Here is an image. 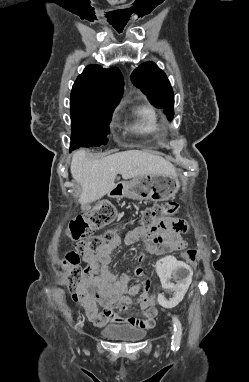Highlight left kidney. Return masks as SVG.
Masks as SVG:
<instances>
[{
    "label": "left kidney",
    "instance_id": "obj_1",
    "mask_svg": "<svg viewBox=\"0 0 249 382\" xmlns=\"http://www.w3.org/2000/svg\"><path fill=\"white\" fill-rule=\"evenodd\" d=\"M156 264L158 276L161 277L164 287V291L157 296V306L163 309H176L187 296L193 271L182 270L186 265L173 256H167Z\"/></svg>",
    "mask_w": 249,
    "mask_h": 382
}]
</instances>
